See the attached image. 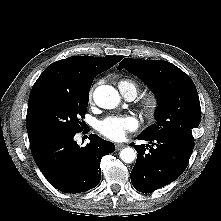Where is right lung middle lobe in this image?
Wrapping results in <instances>:
<instances>
[{
  "label": "right lung middle lobe",
  "mask_w": 221,
  "mask_h": 221,
  "mask_svg": "<svg viewBox=\"0 0 221 221\" xmlns=\"http://www.w3.org/2000/svg\"><path fill=\"white\" fill-rule=\"evenodd\" d=\"M89 89L68 91L43 87L31 92L26 126L30 144L56 136H68L83 130Z\"/></svg>",
  "instance_id": "dd1d6c3e"
}]
</instances>
